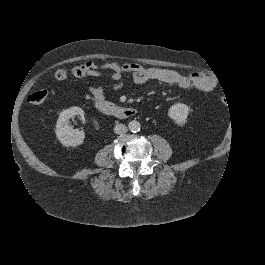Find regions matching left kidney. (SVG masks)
I'll list each match as a JSON object with an SVG mask.
<instances>
[{
	"instance_id": "obj_1",
	"label": "left kidney",
	"mask_w": 265,
	"mask_h": 265,
	"mask_svg": "<svg viewBox=\"0 0 265 265\" xmlns=\"http://www.w3.org/2000/svg\"><path fill=\"white\" fill-rule=\"evenodd\" d=\"M167 115L177 126H184L188 122L189 107L183 103L173 104Z\"/></svg>"
}]
</instances>
